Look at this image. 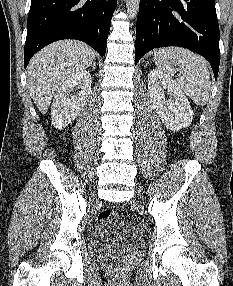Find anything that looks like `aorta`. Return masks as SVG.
Returning <instances> with one entry per match:
<instances>
[{
	"label": "aorta",
	"mask_w": 233,
	"mask_h": 286,
	"mask_svg": "<svg viewBox=\"0 0 233 286\" xmlns=\"http://www.w3.org/2000/svg\"><path fill=\"white\" fill-rule=\"evenodd\" d=\"M140 0H126L127 13L130 19H135L139 10Z\"/></svg>",
	"instance_id": "1"
}]
</instances>
